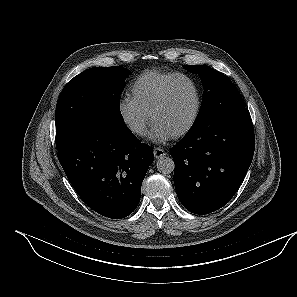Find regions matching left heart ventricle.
<instances>
[{
  "label": "left heart ventricle",
  "instance_id": "obj_1",
  "mask_svg": "<svg viewBox=\"0 0 297 297\" xmlns=\"http://www.w3.org/2000/svg\"><path fill=\"white\" fill-rule=\"evenodd\" d=\"M195 106V93L185 80L177 81L169 92L168 99L153 117L158 125L171 136L182 129L190 120Z\"/></svg>",
  "mask_w": 297,
  "mask_h": 297
}]
</instances>
